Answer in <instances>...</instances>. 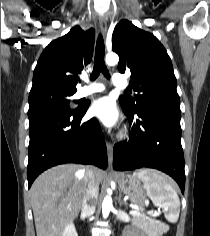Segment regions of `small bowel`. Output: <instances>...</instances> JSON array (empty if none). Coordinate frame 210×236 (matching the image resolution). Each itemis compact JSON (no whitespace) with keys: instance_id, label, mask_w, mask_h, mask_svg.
Instances as JSON below:
<instances>
[{"instance_id":"small-bowel-1","label":"small bowel","mask_w":210,"mask_h":236,"mask_svg":"<svg viewBox=\"0 0 210 236\" xmlns=\"http://www.w3.org/2000/svg\"><path fill=\"white\" fill-rule=\"evenodd\" d=\"M125 236H135L134 231L132 230L127 231Z\"/></svg>"}]
</instances>
